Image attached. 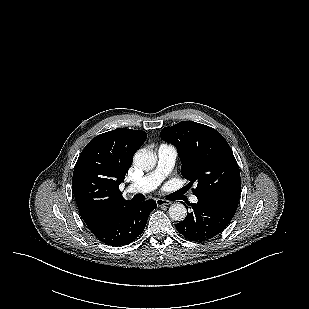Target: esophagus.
Here are the masks:
<instances>
[{
	"label": "esophagus",
	"instance_id": "1",
	"mask_svg": "<svg viewBox=\"0 0 309 309\" xmlns=\"http://www.w3.org/2000/svg\"><path fill=\"white\" fill-rule=\"evenodd\" d=\"M172 202L164 199H156V204L158 207L164 206V205H170Z\"/></svg>",
	"mask_w": 309,
	"mask_h": 309
}]
</instances>
